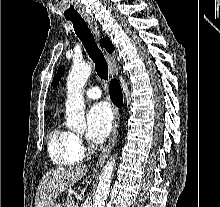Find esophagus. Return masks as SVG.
Segmentation results:
<instances>
[{"label": "esophagus", "instance_id": "obj_1", "mask_svg": "<svg viewBox=\"0 0 220 207\" xmlns=\"http://www.w3.org/2000/svg\"><path fill=\"white\" fill-rule=\"evenodd\" d=\"M83 18L85 19V21L87 22V24L91 28V30L93 31L96 38L99 40L101 37V33H100L98 24H97L96 20L94 19V17L91 15H88V14H84ZM106 59H107L108 66H109L110 76H111V78H114L115 77V70H116L115 57L112 54H109L106 52ZM114 114H115V117H114L112 134L109 138V141H108L106 147L104 148V150L102 151V153L99 157V160L97 162V166L102 165L105 162V160L108 158L112 148L115 145L117 137H118L120 113H119V109L117 107H114Z\"/></svg>", "mask_w": 220, "mask_h": 207}]
</instances>
